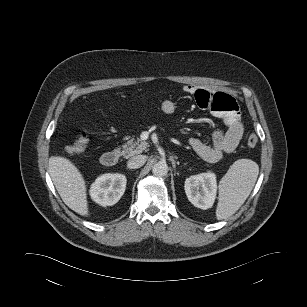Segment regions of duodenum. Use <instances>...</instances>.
I'll use <instances>...</instances> for the list:
<instances>
[{"instance_id": "410a0bca", "label": "duodenum", "mask_w": 307, "mask_h": 307, "mask_svg": "<svg viewBox=\"0 0 307 307\" xmlns=\"http://www.w3.org/2000/svg\"><path fill=\"white\" fill-rule=\"evenodd\" d=\"M119 153L117 151H107L101 156V164L105 167H112L117 164Z\"/></svg>"}]
</instances>
